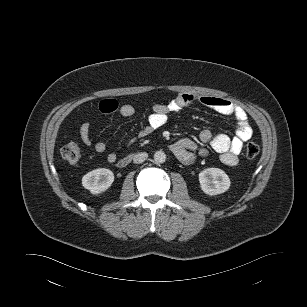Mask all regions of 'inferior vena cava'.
<instances>
[{
  "label": "inferior vena cava",
  "mask_w": 307,
  "mask_h": 307,
  "mask_svg": "<svg viewBox=\"0 0 307 307\" xmlns=\"http://www.w3.org/2000/svg\"><path fill=\"white\" fill-rule=\"evenodd\" d=\"M148 158V154L146 152L137 153L133 157V162L136 164L144 162Z\"/></svg>",
  "instance_id": "1"
}]
</instances>
